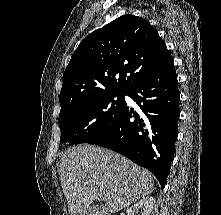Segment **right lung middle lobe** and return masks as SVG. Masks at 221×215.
Wrapping results in <instances>:
<instances>
[{"label": "right lung middle lobe", "mask_w": 221, "mask_h": 215, "mask_svg": "<svg viewBox=\"0 0 221 215\" xmlns=\"http://www.w3.org/2000/svg\"><path fill=\"white\" fill-rule=\"evenodd\" d=\"M125 95L119 92L106 93L61 108L60 140L71 145L87 143L110 130L126 105Z\"/></svg>", "instance_id": "right-lung-middle-lobe-1"}]
</instances>
